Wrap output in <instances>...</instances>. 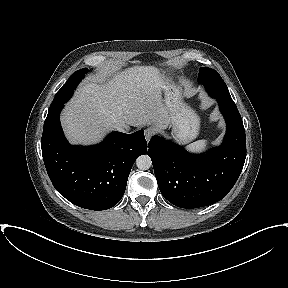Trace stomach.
I'll use <instances>...</instances> for the list:
<instances>
[{"mask_svg":"<svg viewBox=\"0 0 288 288\" xmlns=\"http://www.w3.org/2000/svg\"><path fill=\"white\" fill-rule=\"evenodd\" d=\"M164 81L163 102L167 108L169 124L176 140L182 143L190 142L199 132L200 119L198 115L182 100L181 87L176 84L164 69H158Z\"/></svg>","mask_w":288,"mask_h":288,"instance_id":"obj_1","label":"stomach"}]
</instances>
